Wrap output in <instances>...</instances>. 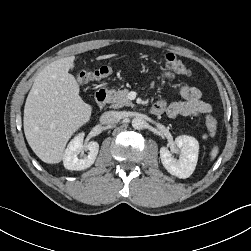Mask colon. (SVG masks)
Wrapping results in <instances>:
<instances>
[{
  "instance_id": "1",
  "label": "colon",
  "mask_w": 251,
  "mask_h": 251,
  "mask_svg": "<svg viewBox=\"0 0 251 251\" xmlns=\"http://www.w3.org/2000/svg\"><path fill=\"white\" fill-rule=\"evenodd\" d=\"M164 65L168 70L178 74L189 75L191 73L190 69L172 53L164 56ZM110 72L111 68L109 66L84 68L78 72L77 80L81 84H88L106 78ZM206 128L210 136H214L217 132V120L211 115L206 118Z\"/></svg>"
}]
</instances>
